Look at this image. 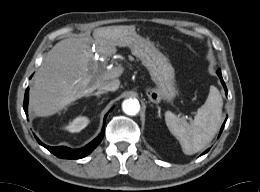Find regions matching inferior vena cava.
<instances>
[{"label": "inferior vena cava", "mask_w": 260, "mask_h": 192, "mask_svg": "<svg viewBox=\"0 0 260 192\" xmlns=\"http://www.w3.org/2000/svg\"><path fill=\"white\" fill-rule=\"evenodd\" d=\"M120 86V81L118 79H113L106 83L105 85L101 86L99 90L104 91H116Z\"/></svg>", "instance_id": "obj_1"}]
</instances>
